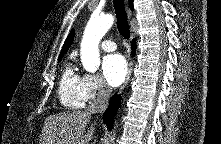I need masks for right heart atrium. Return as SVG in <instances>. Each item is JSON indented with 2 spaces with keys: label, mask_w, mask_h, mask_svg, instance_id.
<instances>
[{
  "label": "right heart atrium",
  "mask_w": 221,
  "mask_h": 144,
  "mask_svg": "<svg viewBox=\"0 0 221 144\" xmlns=\"http://www.w3.org/2000/svg\"><path fill=\"white\" fill-rule=\"evenodd\" d=\"M82 91L85 100L92 102L106 96L108 88L100 77L86 74L83 76Z\"/></svg>",
  "instance_id": "1"
}]
</instances>
